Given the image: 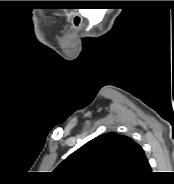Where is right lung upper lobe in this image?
Instances as JSON below:
<instances>
[{
	"instance_id": "cb5924a9",
	"label": "right lung upper lobe",
	"mask_w": 174,
	"mask_h": 184,
	"mask_svg": "<svg viewBox=\"0 0 174 184\" xmlns=\"http://www.w3.org/2000/svg\"><path fill=\"white\" fill-rule=\"evenodd\" d=\"M148 164L140 145L114 132L84 144L55 170L67 184H115L134 178Z\"/></svg>"
}]
</instances>
